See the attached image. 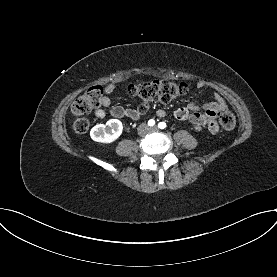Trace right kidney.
<instances>
[{
  "mask_svg": "<svg viewBox=\"0 0 277 277\" xmlns=\"http://www.w3.org/2000/svg\"><path fill=\"white\" fill-rule=\"evenodd\" d=\"M122 122L110 119L106 124H97L90 131L91 138L96 142L112 143L122 134Z\"/></svg>",
  "mask_w": 277,
  "mask_h": 277,
  "instance_id": "obj_1",
  "label": "right kidney"
}]
</instances>
